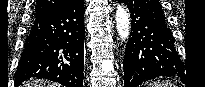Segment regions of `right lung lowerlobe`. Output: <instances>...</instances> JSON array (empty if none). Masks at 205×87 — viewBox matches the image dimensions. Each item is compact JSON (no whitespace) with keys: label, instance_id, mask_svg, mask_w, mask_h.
Segmentation results:
<instances>
[{"label":"right lung lower lobe","instance_id":"1","mask_svg":"<svg viewBox=\"0 0 205 87\" xmlns=\"http://www.w3.org/2000/svg\"><path fill=\"white\" fill-rule=\"evenodd\" d=\"M84 37L83 0L35 16L14 75L15 86L36 77L83 87Z\"/></svg>","mask_w":205,"mask_h":87}]
</instances>
